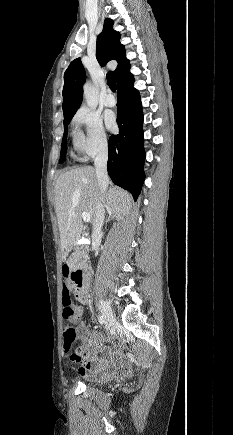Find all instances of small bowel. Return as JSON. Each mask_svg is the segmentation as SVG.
<instances>
[{
	"label": "small bowel",
	"instance_id": "small-bowel-1",
	"mask_svg": "<svg viewBox=\"0 0 233 435\" xmlns=\"http://www.w3.org/2000/svg\"><path fill=\"white\" fill-rule=\"evenodd\" d=\"M62 294L63 297H70V285L68 283L63 284ZM78 310L80 314L82 308L78 307ZM79 332L81 336L91 339L90 343L83 342L78 348L81 357L87 361L85 367L79 368V371L88 378L101 380L107 379L108 375L115 372L116 365L120 360L117 349L114 347L103 348L97 340L98 333L96 331H92L84 322L79 324ZM98 350L103 352L102 358L97 356ZM121 369L125 375L132 373V366L129 364H122Z\"/></svg>",
	"mask_w": 233,
	"mask_h": 435
}]
</instances>
